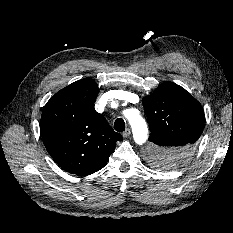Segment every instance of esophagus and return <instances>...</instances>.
<instances>
[{"label": "esophagus", "instance_id": "obj_1", "mask_svg": "<svg viewBox=\"0 0 233 233\" xmlns=\"http://www.w3.org/2000/svg\"><path fill=\"white\" fill-rule=\"evenodd\" d=\"M130 133H131V130L129 129V128H127L124 132H123V137L124 138H127L129 135H130Z\"/></svg>", "mask_w": 233, "mask_h": 233}]
</instances>
